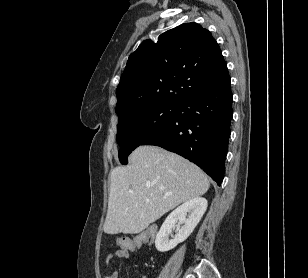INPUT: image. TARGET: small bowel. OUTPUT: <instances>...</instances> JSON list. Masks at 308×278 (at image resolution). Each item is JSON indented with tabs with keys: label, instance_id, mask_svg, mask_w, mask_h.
<instances>
[{
	"label": "small bowel",
	"instance_id": "small-bowel-1",
	"mask_svg": "<svg viewBox=\"0 0 308 278\" xmlns=\"http://www.w3.org/2000/svg\"><path fill=\"white\" fill-rule=\"evenodd\" d=\"M129 250H120L119 248L114 252L107 255L105 259V265H109L112 259H128L130 257ZM104 278H119V273L117 270H114L109 275L105 276ZM142 278H147L146 276H142Z\"/></svg>",
	"mask_w": 308,
	"mask_h": 278
}]
</instances>
